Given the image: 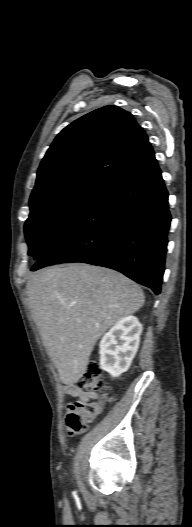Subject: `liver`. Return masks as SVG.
<instances>
[{
    "instance_id": "liver-1",
    "label": "liver",
    "mask_w": 192,
    "mask_h": 527,
    "mask_svg": "<svg viewBox=\"0 0 192 527\" xmlns=\"http://www.w3.org/2000/svg\"><path fill=\"white\" fill-rule=\"evenodd\" d=\"M28 304L45 349L66 385L85 373L97 340L144 304L141 288L121 273L87 264L44 269L28 280Z\"/></svg>"
}]
</instances>
